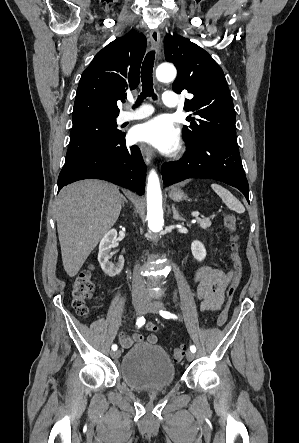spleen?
I'll list each match as a JSON object with an SVG mask.
<instances>
[{"label":"spleen","instance_id":"3e777b00","mask_svg":"<svg viewBox=\"0 0 299 443\" xmlns=\"http://www.w3.org/2000/svg\"><path fill=\"white\" fill-rule=\"evenodd\" d=\"M211 187L229 209L239 214L245 212V208L241 204V202L235 196H233L231 192H229L227 189L218 184H211Z\"/></svg>","mask_w":299,"mask_h":443}]
</instances>
